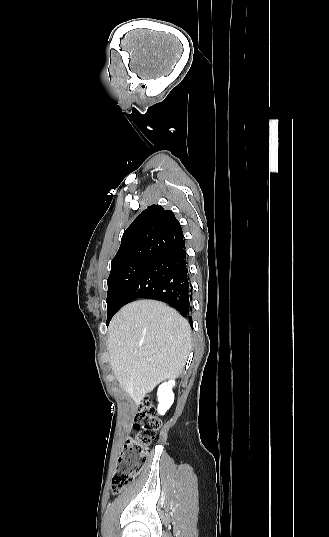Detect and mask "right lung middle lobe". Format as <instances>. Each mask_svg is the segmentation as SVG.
<instances>
[{
  "label": "right lung middle lobe",
  "mask_w": 329,
  "mask_h": 537,
  "mask_svg": "<svg viewBox=\"0 0 329 537\" xmlns=\"http://www.w3.org/2000/svg\"><path fill=\"white\" fill-rule=\"evenodd\" d=\"M151 263L150 260H135L111 270L108 278L107 321L108 324L121 306L122 297L136 278Z\"/></svg>",
  "instance_id": "right-lung-middle-lobe-1"
}]
</instances>
